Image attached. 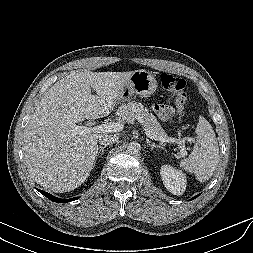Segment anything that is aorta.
I'll return each mask as SVG.
<instances>
[{"mask_svg":"<svg viewBox=\"0 0 253 253\" xmlns=\"http://www.w3.org/2000/svg\"><path fill=\"white\" fill-rule=\"evenodd\" d=\"M141 145L138 142H130L127 146V152L129 154L137 155L140 153Z\"/></svg>","mask_w":253,"mask_h":253,"instance_id":"1","label":"aorta"}]
</instances>
